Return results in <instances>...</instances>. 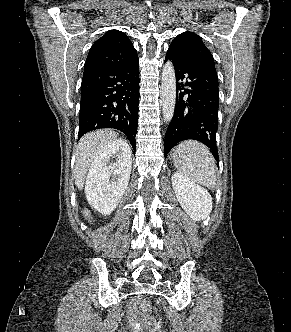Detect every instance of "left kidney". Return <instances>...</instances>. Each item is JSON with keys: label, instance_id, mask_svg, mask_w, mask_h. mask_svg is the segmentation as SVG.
Segmentation results:
<instances>
[{"label": "left kidney", "instance_id": "5707ae66", "mask_svg": "<svg viewBox=\"0 0 291 332\" xmlns=\"http://www.w3.org/2000/svg\"><path fill=\"white\" fill-rule=\"evenodd\" d=\"M171 180L176 197L185 212L195 221L207 219L213 204L209 192L178 172L172 175Z\"/></svg>", "mask_w": 291, "mask_h": 332}]
</instances>
